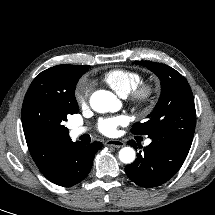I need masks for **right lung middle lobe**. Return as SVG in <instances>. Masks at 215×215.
<instances>
[{
    "mask_svg": "<svg viewBox=\"0 0 215 215\" xmlns=\"http://www.w3.org/2000/svg\"><path fill=\"white\" fill-rule=\"evenodd\" d=\"M89 69L84 65H57L41 72L31 83L22 106V121L41 135L68 134L67 116L78 112L74 91L79 78Z\"/></svg>",
    "mask_w": 215,
    "mask_h": 215,
    "instance_id": "right-lung-middle-lobe-1",
    "label": "right lung middle lobe"
}]
</instances>
